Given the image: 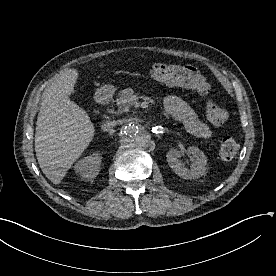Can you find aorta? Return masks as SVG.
<instances>
[{"label": "aorta", "mask_w": 276, "mask_h": 276, "mask_svg": "<svg viewBox=\"0 0 276 276\" xmlns=\"http://www.w3.org/2000/svg\"><path fill=\"white\" fill-rule=\"evenodd\" d=\"M120 137L127 147L137 150H144L149 145V135L139 125L130 122L122 126Z\"/></svg>", "instance_id": "762f6f07"}]
</instances>
